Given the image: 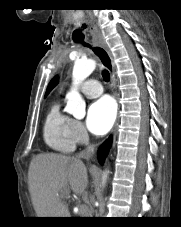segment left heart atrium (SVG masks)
I'll use <instances>...</instances> for the list:
<instances>
[{"mask_svg": "<svg viewBox=\"0 0 181 227\" xmlns=\"http://www.w3.org/2000/svg\"><path fill=\"white\" fill-rule=\"evenodd\" d=\"M115 118L116 107L114 102L108 97H103L89 106L86 124L92 133L103 135L111 129Z\"/></svg>", "mask_w": 181, "mask_h": 227, "instance_id": "obj_1", "label": "left heart atrium"}]
</instances>
